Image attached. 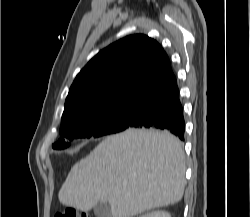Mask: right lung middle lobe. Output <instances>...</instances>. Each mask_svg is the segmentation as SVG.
<instances>
[{
	"label": "right lung middle lobe",
	"mask_w": 250,
	"mask_h": 217,
	"mask_svg": "<svg viewBox=\"0 0 250 217\" xmlns=\"http://www.w3.org/2000/svg\"><path fill=\"white\" fill-rule=\"evenodd\" d=\"M137 104V100L114 103L62 121L61 138L52 147L64 149L69 146V143L65 142L66 139L96 138L125 130L133 118Z\"/></svg>",
	"instance_id": "obj_1"
}]
</instances>
